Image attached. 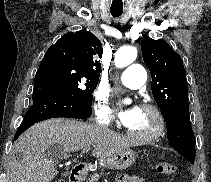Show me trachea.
<instances>
[{
	"instance_id": "trachea-1",
	"label": "trachea",
	"mask_w": 211,
	"mask_h": 182,
	"mask_svg": "<svg viewBox=\"0 0 211 182\" xmlns=\"http://www.w3.org/2000/svg\"><path fill=\"white\" fill-rule=\"evenodd\" d=\"M111 15L116 18V17H119L122 15V11H114V10H111Z\"/></svg>"
}]
</instances>
